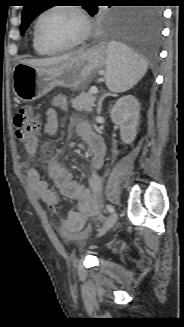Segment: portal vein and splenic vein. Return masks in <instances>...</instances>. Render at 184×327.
Here are the masks:
<instances>
[{
	"instance_id": "18ae733b",
	"label": "portal vein and splenic vein",
	"mask_w": 184,
	"mask_h": 327,
	"mask_svg": "<svg viewBox=\"0 0 184 327\" xmlns=\"http://www.w3.org/2000/svg\"><path fill=\"white\" fill-rule=\"evenodd\" d=\"M91 91H92L93 94H96L98 92V89L96 87H92Z\"/></svg>"
}]
</instances>
